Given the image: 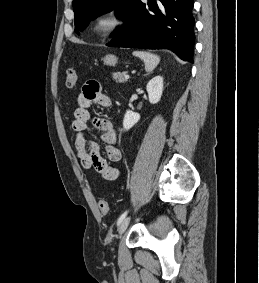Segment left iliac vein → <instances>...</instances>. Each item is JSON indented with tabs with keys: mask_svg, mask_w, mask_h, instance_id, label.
<instances>
[{
	"mask_svg": "<svg viewBox=\"0 0 259 283\" xmlns=\"http://www.w3.org/2000/svg\"><path fill=\"white\" fill-rule=\"evenodd\" d=\"M129 222H130V217H126V218L121 222V224H120V226H119V229H118L119 235H122V234L126 231L128 225H129Z\"/></svg>",
	"mask_w": 259,
	"mask_h": 283,
	"instance_id": "left-iliac-vein-1",
	"label": "left iliac vein"
}]
</instances>
